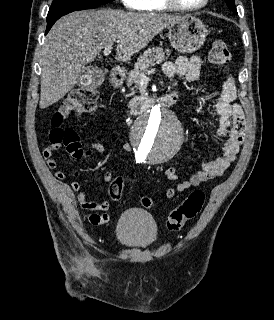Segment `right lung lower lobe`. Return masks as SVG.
<instances>
[{"instance_id":"1","label":"right lung lower lobe","mask_w":274,"mask_h":320,"mask_svg":"<svg viewBox=\"0 0 274 320\" xmlns=\"http://www.w3.org/2000/svg\"><path fill=\"white\" fill-rule=\"evenodd\" d=\"M60 17L51 19V20H47V28H46V33H48V31L51 29V27L53 26V24L59 19Z\"/></svg>"}]
</instances>
